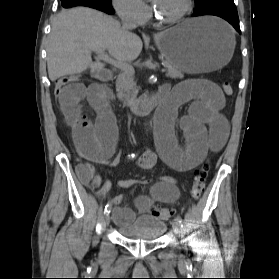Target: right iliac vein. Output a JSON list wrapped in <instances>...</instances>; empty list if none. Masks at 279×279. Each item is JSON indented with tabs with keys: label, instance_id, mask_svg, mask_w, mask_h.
Listing matches in <instances>:
<instances>
[{
	"label": "right iliac vein",
	"instance_id": "right-iliac-vein-1",
	"mask_svg": "<svg viewBox=\"0 0 279 279\" xmlns=\"http://www.w3.org/2000/svg\"><path fill=\"white\" fill-rule=\"evenodd\" d=\"M110 223V214L106 213L105 218H104V226L107 227Z\"/></svg>",
	"mask_w": 279,
	"mask_h": 279
}]
</instances>
